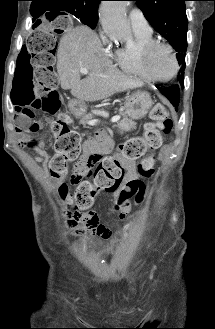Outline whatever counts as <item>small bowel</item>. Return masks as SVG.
<instances>
[{
    "label": "small bowel",
    "instance_id": "small-bowel-1",
    "mask_svg": "<svg viewBox=\"0 0 215 329\" xmlns=\"http://www.w3.org/2000/svg\"><path fill=\"white\" fill-rule=\"evenodd\" d=\"M25 125L21 122L19 127ZM19 127L17 132L20 131ZM28 133V132H22ZM20 144L32 151L34 158L38 162L46 163L48 160V153L46 151V144L44 141L28 140L21 138ZM108 142L100 143L96 139L88 140L84 145L83 155L77 162L75 168L81 167L90 155L101 154L106 151ZM124 168L127 170V180L119 187L118 192L115 193L111 208L108 210L110 215H115L117 219L124 218L131 208H141L142 199H146L148 194V184L143 182L142 178H137L138 170L133 160H125L123 162ZM130 204V206H129ZM119 210V212H117ZM74 223H81L84 227L90 230L91 233L99 235L104 238H110L111 232L100 223L99 216L95 211H89L85 214L76 215Z\"/></svg>",
    "mask_w": 215,
    "mask_h": 329
}]
</instances>
